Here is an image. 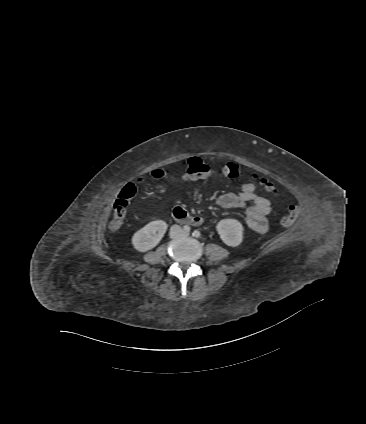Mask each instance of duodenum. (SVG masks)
<instances>
[{
    "label": "duodenum",
    "mask_w": 366,
    "mask_h": 424,
    "mask_svg": "<svg viewBox=\"0 0 366 424\" xmlns=\"http://www.w3.org/2000/svg\"><path fill=\"white\" fill-rule=\"evenodd\" d=\"M173 218L180 223H192L195 225H200L202 223V218L199 216L190 215L181 207H174L172 209Z\"/></svg>",
    "instance_id": "duodenum-1"
}]
</instances>
